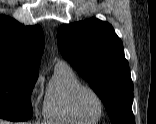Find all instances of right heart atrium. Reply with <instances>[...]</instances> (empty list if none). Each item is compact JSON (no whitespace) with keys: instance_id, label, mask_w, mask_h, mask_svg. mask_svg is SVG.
<instances>
[{"instance_id":"d8ad5b80","label":"right heart atrium","mask_w":156,"mask_h":124,"mask_svg":"<svg viewBox=\"0 0 156 124\" xmlns=\"http://www.w3.org/2000/svg\"><path fill=\"white\" fill-rule=\"evenodd\" d=\"M40 82H41V76L39 75L34 81V83L32 84L31 89L29 91V101L34 110L37 107Z\"/></svg>"}]
</instances>
